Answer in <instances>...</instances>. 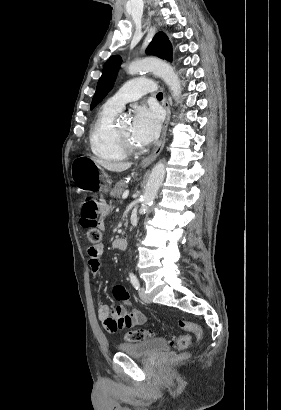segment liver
Wrapping results in <instances>:
<instances>
[{
  "mask_svg": "<svg viewBox=\"0 0 281 410\" xmlns=\"http://www.w3.org/2000/svg\"><path fill=\"white\" fill-rule=\"evenodd\" d=\"M93 159L98 165L112 172H123L131 167V163L129 162L127 163L110 162V161H105V160H100V159H95V158Z\"/></svg>",
  "mask_w": 281,
  "mask_h": 410,
  "instance_id": "6515ba94",
  "label": "liver"
}]
</instances>
